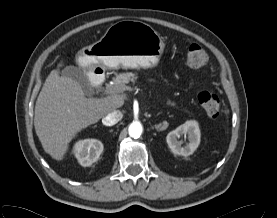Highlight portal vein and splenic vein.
Wrapping results in <instances>:
<instances>
[{"label":"portal vein and splenic vein","instance_id":"18ae733b","mask_svg":"<svg viewBox=\"0 0 277 218\" xmlns=\"http://www.w3.org/2000/svg\"><path fill=\"white\" fill-rule=\"evenodd\" d=\"M105 93L108 94V93H114V90L109 86L105 89Z\"/></svg>","mask_w":277,"mask_h":218}]
</instances>
